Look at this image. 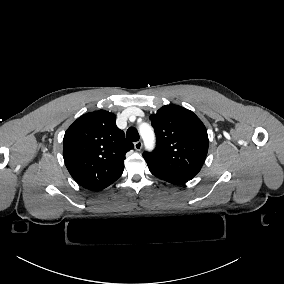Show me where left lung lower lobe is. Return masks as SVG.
<instances>
[{
    "label": "left lung lower lobe",
    "mask_w": 284,
    "mask_h": 284,
    "mask_svg": "<svg viewBox=\"0 0 284 284\" xmlns=\"http://www.w3.org/2000/svg\"><path fill=\"white\" fill-rule=\"evenodd\" d=\"M154 176L158 177L159 179H162L164 181H167L172 184L180 185L186 183L188 180L183 179V178H178V177H173V176H168V175H163V174H158V173H153L151 172Z\"/></svg>",
    "instance_id": "obj_1"
}]
</instances>
